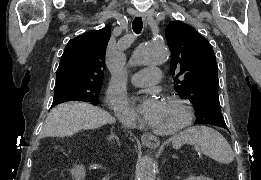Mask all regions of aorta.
<instances>
[{
  "mask_svg": "<svg viewBox=\"0 0 261 180\" xmlns=\"http://www.w3.org/2000/svg\"><path fill=\"white\" fill-rule=\"evenodd\" d=\"M169 50L165 46L154 43H142L133 52L129 64L158 65L167 61ZM155 163L152 158L145 157L137 165L138 180H155Z\"/></svg>",
  "mask_w": 261,
  "mask_h": 180,
  "instance_id": "aorta-1",
  "label": "aorta"
}]
</instances>
